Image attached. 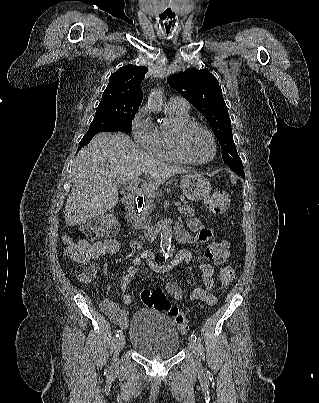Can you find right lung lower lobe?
Returning <instances> with one entry per match:
<instances>
[{
    "label": "right lung lower lobe",
    "mask_w": 319,
    "mask_h": 403,
    "mask_svg": "<svg viewBox=\"0 0 319 403\" xmlns=\"http://www.w3.org/2000/svg\"><path fill=\"white\" fill-rule=\"evenodd\" d=\"M123 131L121 129H98V130H89L84 137L82 138V140L80 141V146L79 149L81 147H84L85 145H87L90 140L93 138L94 135H96L99 132H118V131Z\"/></svg>",
    "instance_id": "right-lung-lower-lobe-1"
}]
</instances>
